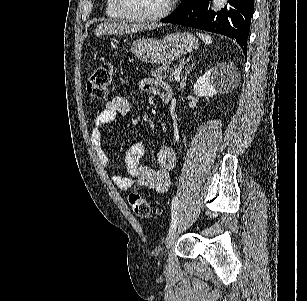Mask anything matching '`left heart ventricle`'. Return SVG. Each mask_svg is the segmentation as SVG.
I'll list each match as a JSON object with an SVG mask.
<instances>
[{"label":"left heart ventricle","instance_id":"1","mask_svg":"<svg viewBox=\"0 0 307 301\" xmlns=\"http://www.w3.org/2000/svg\"><path fill=\"white\" fill-rule=\"evenodd\" d=\"M125 3V13H154L161 11L165 0H131Z\"/></svg>","mask_w":307,"mask_h":301}]
</instances>
